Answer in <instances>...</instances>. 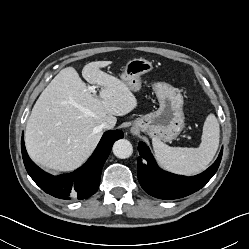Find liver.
I'll use <instances>...</instances> for the list:
<instances>
[{"label":"liver","mask_w":249,"mask_h":249,"mask_svg":"<svg viewBox=\"0 0 249 249\" xmlns=\"http://www.w3.org/2000/svg\"><path fill=\"white\" fill-rule=\"evenodd\" d=\"M111 61H95L82 69L84 79L99 86L88 90L73 67L62 69L36 101L25 130L31 159L55 171H72L92 154L101 136V123L115 126L117 116L137 107V99L122 80L101 68Z\"/></svg>","instance_id":"liver-1"}]
</instances>
